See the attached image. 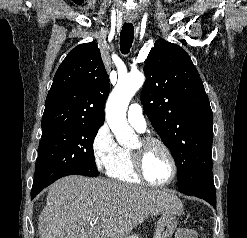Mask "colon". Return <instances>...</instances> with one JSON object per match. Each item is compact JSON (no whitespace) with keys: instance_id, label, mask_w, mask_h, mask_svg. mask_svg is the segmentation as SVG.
<instances>
[{"instance_id":"obj_1","label":"colon","mask_w":247,"mask_h":238,"mask_svg":"<svg viewBox=\"0 0 247 238\" xmlns=\"http://www.w3.org/2000/svg\"><path fill=\"white\" fill-rule=\"evenodd\" d=\"M176 238H201V236L193 229L180 227L176 231Z\"/></svg>"}]
</instances>
